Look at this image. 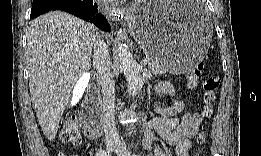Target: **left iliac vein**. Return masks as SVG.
<instances>
[{
  "instance_id": "left-iliac-vein-1",
  "label": "left iliac vein",
  "mask_w": 261,
  "mask_h": 156,
  "mask_svg": "<svg viewBox=\"0 0 261 156\" xmlns=\"http://www.w3.org/2000/svg\"><path fill=\"white\" fill-rule=\"evenodd\" d=\"M116 153L119 156H129V155H131V152L128 150V148L123 143L117 144Z\"/></svg>"
}]
</instances>
